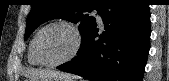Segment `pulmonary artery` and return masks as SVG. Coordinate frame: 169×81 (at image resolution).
I'll list each match as a JSON object with an SVG mask.
<instances>
[{"instance_id":"1","label":"pulmonary artery","mask_w":169,"mask_h":81,"mask_svg":"<svg viewBox=\"0 0 169 81\" xmlns=\"http://www.w3.org/2000/svg\"><path fill=\"white\" fill-rule=\"evenodd\" d=\"M97 18H98L99 23H101V24H102V19H101V17H100V16H98Z\"/></svg>"}]
</instances>
